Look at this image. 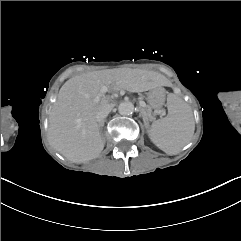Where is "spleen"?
<instances>
[{
  "mask_svg": "<svg viewBox=\"0 0 241 241\" xmlns=\"http://www.w3.org/2000/svg\"><path fill=\"white\" fill-rule=\"evenodd\" d=\"M168 116L156 120L148 130L151 142L168 155L177 154L194 134L189 105L177 94L168 96Z\"/></svg>",
  "mask_w": 241,
  "mask_h": 241,
  "instance_id": "3e777b00",
  "label": "spleen"
}]
</instances>
